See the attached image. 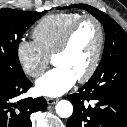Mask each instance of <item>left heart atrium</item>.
<instances>
[{"mask_svg": "<svg viewBox=\"0 0 127 127\" xmlns=\"http://www.w3.org/2000/svg\"><path fill=\"white\" fill-rule=\"evenodd\" d=\"M77 78L64 67L56 66L36 81V91L40 95L58 97L76 83Z\"/></svg>", "mask_w": 127, "mask_h": 127, "instance_id": "39dd6f15", "label": "left heart atrium"}]
</instances>
